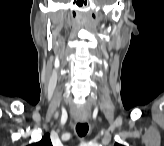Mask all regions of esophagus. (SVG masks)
Instances as JSON below:
<instances>
[{
    "label": "esophagus",
    "mask_w": 164,
    "mask_h": 146,
    "mask_svg": "<svg viewBox=\"0 0 164 146\" xmlns=\"http://www.w3.org/2000/svg\"><path fill=\"white\" fill-rule=\"evenodd\" d=\"M79 121H80V122H85V121H86V119H79Z\"/></svg>",
    "instance_id": "1"
}]
</instances>
